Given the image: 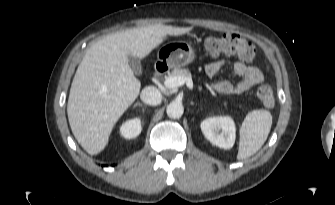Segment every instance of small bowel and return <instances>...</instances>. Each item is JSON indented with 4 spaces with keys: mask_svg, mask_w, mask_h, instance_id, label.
I'll use <instances>...</instances> for the list:
<instances>
[{
    "mask_svg": "<svg viewBox=\"0 0 335 205\" xmlns=\"http://www.w3.org/2000/svg\"><path fill=\"white\" fill-rule=\"evenodd\" d=\"M226 62V60H219L207 64L205 67L207 75L216 76ZM233 71L239 77L237 84L234 85L229 80H222L214 84L213 89L222 94H241L264 80L263 72L259 67L247 66L243 61H235Z\"/></svg>",
    "mask_w": 335,
    "mask_h": 205,
    "instance_id": "c3829d8e",
    "label": "small bowel"
}]
</instances>
